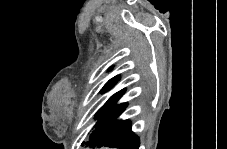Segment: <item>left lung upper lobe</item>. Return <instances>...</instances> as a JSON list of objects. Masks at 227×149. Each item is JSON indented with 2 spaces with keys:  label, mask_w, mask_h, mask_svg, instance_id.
<instances>
[{
  "label": "left lung upper lobe",
  "mask_w": 227,
  "mask_h": 149,
  "mask_svg": "<svg viewBox=\"0 0 227 149\" xmlns=\"http://www.w3.org/2000/svg\"><path fill=\"white\" fill-rule=\"evenodd\" d=\"M119 77L116 76L112 79H110L105 86L102 88L101 92H106L109 90L115 83L118 81ZM125 90L122 89L119 92L115 93L113 96H111L108 101L99 109V111L96 114V118H98V122L104 118L115 106L118 99L124 94ZM101 117V118H99ZM97 122V123H98Z\"/></svg>",
  "instance_id": "obj_1"
}]
</instances>
